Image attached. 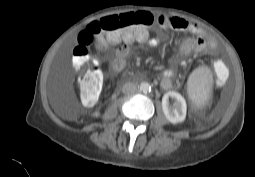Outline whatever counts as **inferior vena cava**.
<instances>
[{
  "label": "inferior vena cava",
  "mask_w": 255,
  "mask_h": 177,
  "mask_svg": "<svg viewBox=\"0 0 255 177\" xmlns=\"http://www.w3.org/2000/svg\"><path fill=\"white\" fill-rule=\"evenodd\" d=\"M137 90V86L134 83H125L122 87V91L125 94H132Z\"/></svg>",
  "instance_id": "inferior-vena-cava-1"
}]
</instances>
